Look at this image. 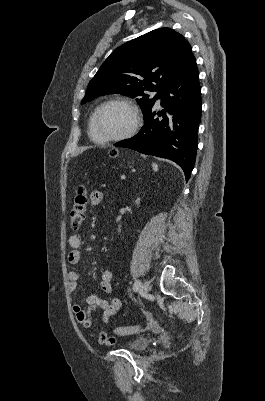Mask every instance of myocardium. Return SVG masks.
<instances>
[{"instance_id": "1", "label": "myocardium", "mask_w": 265, "mask_h": 401, "mask_svg": "<svg viewBox=\"0 0 265 401\" xmlns=\"http://www.w3.org/2000/svg\"><path fill=\"white\" fill-rule=\"evenodd\" d=\"M115 104H121V105H125L127 106L131 112H132V123L131 125L120 135L111 137V138H107V139H97L94 135V124L95 121L97 120L98 116L100 115V113L108 106L110 105H115ZM141 112L138 108V106L129 99H124V98H118V99H112V100H108L106 102H104L103 104H101L97 110L94 112V114L92 115V117L90 118L89 121V136L90 138L96 142V143H108V142H114V141H120L123 140L129 136H131L139 127V124L141 122Z\"/></svg>"}]
</instances>
